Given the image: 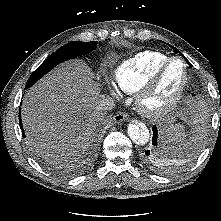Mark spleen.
I'll use <instances>...</instances> for the list:
<instances>
[{
    "mask_svg": "<svg viewBox=\"0 0 221 221\" xmlns=\"http://www.w3.org/2000/svg\"><path fill=\"white\" fill-rule=\"evenodd\" d=\"M169 140L177 147H181L186 139V134L182 126L175 125L168 129Z\"/></svg>",
    "mask_w": 221,
    "mask_h": 221,
    "instance_id": "obj_1",
    "label": "spleen"
}]
</instances>
